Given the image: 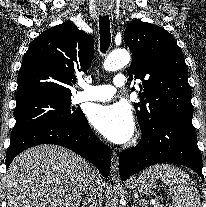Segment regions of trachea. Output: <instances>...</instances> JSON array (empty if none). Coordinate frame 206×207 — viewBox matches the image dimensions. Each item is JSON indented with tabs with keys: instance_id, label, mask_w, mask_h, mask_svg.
Instances as JSON below:
<instances>
[{
	"instance_id": "3493384b",
	"label": "trachea",
	"mask_w": 206,
	"mask_h": 207,
	"mask_svg": "<svg viewBox=\"0 0 206 207\" xmlns=\"http://www.w3.org/2000/svg\"><path fill=\"white\" fill-rule=\"evenodd\" d=\"M99 33H100V48L101 52L105 53L111 43L110 20L109 17L99 16Z\"/></svg>"
}]
</instances>
